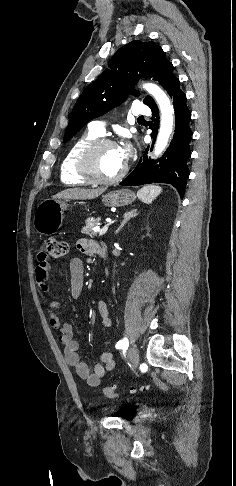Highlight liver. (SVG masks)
<instances>
[{
    "label": "liver",
    "mask_w": 236,
    "mask_h": 486,
    "mask_svg": "<svg viewBox=\"0 0 236 486\" xmlns=\"http://www.w3.org/2000/svg\"><path fill=\"white\" fill-rule=\"evenodd\" d=\"M104 189H82V188H70L63 190L56 195H53V199H80V200H90L101 195Z\"/></svg>",
    "instance_id": "1"
}]
</instances>
